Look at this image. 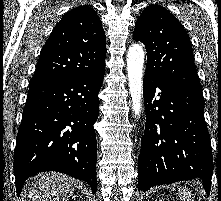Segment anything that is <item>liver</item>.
Here are the masks:
<instances>
[{
    "label": "liver",
    "mask_w": 221,
    "mask_h": 201,
    "mask_svg": "<svg viewBox=\"0 0 221 201\" xmlns=\"http://www.w3.org/2000/svg\"><path fill=\"white\" fill-rule=\"evenodd\" d=\"M79 182L65 174L43 173L26 184L28 201H64L72 196Z\"/></svg>",
    "instance_id": "1"
}]
</instances>
